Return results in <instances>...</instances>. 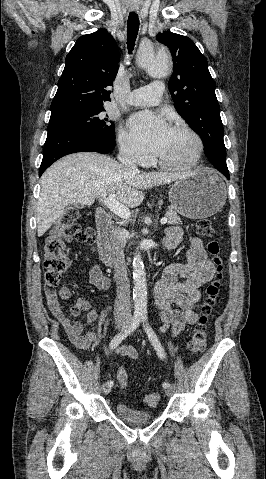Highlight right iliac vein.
<instances>
[{
	"label": "right iliac vein",
	"mask_w": 266,
	"mask_h": 479,
	"mask_svg": "<svg viewBox=\"0 0 266 479\" xmlns=\"http://www.w3.org/2000/svg\"><path fill=\"white\" fill-rule=\"evenodd\" d=\"M117 326L120 330H124L125 328H127L128 324L125 323V322H121V323H118ZM101 391H102L103 394L106 395L111 391V388L107 384H103L102 387H101Z\"/></svg>",
	"instance_id": "1"
}]
</instances>
